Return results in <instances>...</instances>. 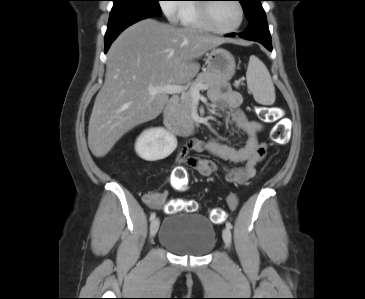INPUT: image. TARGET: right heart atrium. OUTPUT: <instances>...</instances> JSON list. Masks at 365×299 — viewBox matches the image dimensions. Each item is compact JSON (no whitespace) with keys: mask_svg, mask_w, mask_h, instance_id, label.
Masks as SVG:
<instances>
[{"mask_svg":"<svg viewBox=\"0 0 365 299\" xmlns=\"http://www.w3.org/2000/svg\"><path fill=\"white\" fill-rule=\"evenodd\" d=\"M175 2H178V0H160L163 13L170 21L174 22L180 20L182 13V7Z\"/></svg>","mask_w":365,"mask_h":299,"instance_id":"1","label":"right heart atrium"}]
</instances>
